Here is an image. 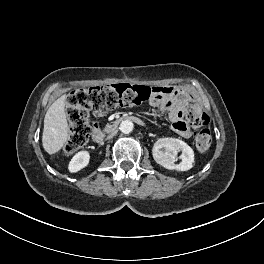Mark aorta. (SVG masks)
<instances>
[{"label":"aorta","instance_id":"aorta-1","mask_svg":"<svg viewBox=\"0 0 264 264\" xmlns=\"http://www.w3.org/2000/svg\"><path fill=\"white\" fill-rule=\"evenodd\" d=\"M134 124L130 120H125L120 123V131L123 134H129L133 131Z\"/></svg>","mask_w":264,"mask_h":264}]
</instances>
